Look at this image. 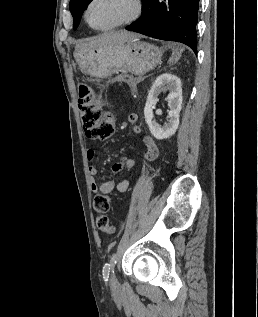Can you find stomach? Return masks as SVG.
<instances>
[{
	"instance_id": "stomach-1",
	"label": "stomach",
	"mask_w": 258,
	"mask_h": 317,
	"mask_svg": "<svg viewBox=\"0 0 258 317\" xmlns=\"http://www.w3.org/2000/svg\"><path fill=\"white\" fill-rule=\"evenodd\" d=\"M162 54L161 48L149 42H142L138 36L123 44L74 50V58L81 70L98 78H106L113 72L124 70L141 76L161 62Z\"/></svg>"
}]
</instances>
